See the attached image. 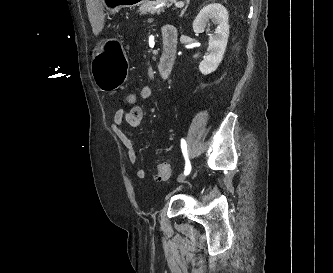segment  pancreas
I'll list each match as a JSON object with an SVG mask.
<instances>
[{
	"mask_svg": "<svg viewBox=\"0 0 333 273\" xmlns=\"http://www.w3.org/2000/svg\"><path fill=\"white\" fill-rule=\"evenodd\" d=\"M167 0H154V1H147L145 4H143L140 8L138 13H140V15H146L148 13H155V12H160L161 9H155V6L159 5L160 3L166 2ZM170 2V4L168 3L166 6L169 7L171 6L173 3H175L176 0H168Z\"/></svg>",
	"mask_w": 333,
	"mask_h": 273,
	"instance_id": "cf45deb5",
	"label": "pancreas"
}]
</instances>
